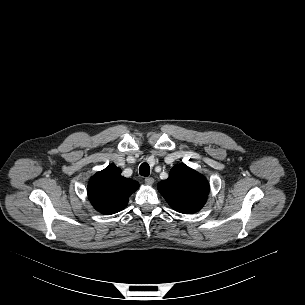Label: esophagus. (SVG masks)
I'll list each match as a JSON object with an SVG mask.
<instances>
[{"mask_svg":"<svg viewBox=\"0 0 305 305\" xmlns=\"http://www.w3.org/2000/svg\"><path fill=\"white\" fill-rule=\"evenodd\" d=\"M145 183H146L147 185H149V186L153 185V183H154V178H152V177H147V178H145Z\"/></svg>","mask_w":305,"mask_h":305,"instance_id":"esophagus-1","label":"esophagus"}]
</instances>
